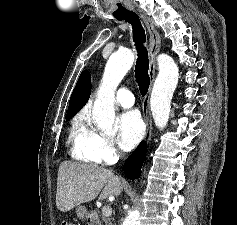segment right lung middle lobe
Wrapping results in <instances>:
<instances>
[{"instance_id": "1", "label": "right lung middle lobe", "mask_w": 237, "mask_h": 225, "mask_svg": "<svg viewBox=\"0 0 237 225\" xmlns=\"http://www.w3.org/2000/svg\"><path fill=\"white\" fill-rule=\"evenodd\" d=\"M74 115H69V116H66V120H69L70 118H72Z\"/></svg>"}]
</instances>
